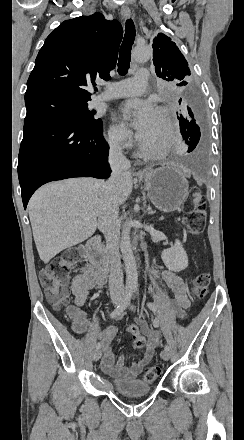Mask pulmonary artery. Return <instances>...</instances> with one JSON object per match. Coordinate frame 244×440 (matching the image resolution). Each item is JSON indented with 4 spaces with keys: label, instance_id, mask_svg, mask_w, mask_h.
<instances>
[{
    "label": "pulmonary artery",
    "instance_id": "1",
    "mask_svg": "<svg viewBox=\"0 0 244 440\" xmlns=\"http://www.w3.org/2000/svg\"><path fill=\"white\" fill-rule=\"evenodd\" d=\"M147 74L146 69H138L136 75H127L126 82L112 83L110 85V93H102L97 99L103 101L140 95L142 93L140 91H143L144 84L147 81Z\"/></svg>",
    "mask_w": 244,
    "mask_h": 440
}]
</instances>
